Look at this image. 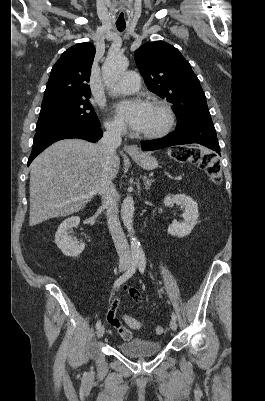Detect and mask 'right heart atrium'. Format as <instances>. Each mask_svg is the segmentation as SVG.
I'll use <instances>...</instances> for the list:
<instances>
[{"label":"right heart atrium","mask_w":265,"mask_h":401,"mask_svg":"<svg viewBox=\"0 0 265 401\" xmlns=\"http://www.w3.org/2000/svg\"><path fill=\"white\" fill-rule=\"evenodd\" d=\"M105 128L107 133L111 135H121L125 132L124 127L120 123L112 120L105 122Z\"/></svg>","instance_id":"d8ad5b80"}]
</instances>
